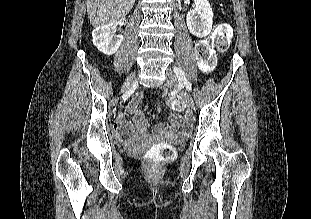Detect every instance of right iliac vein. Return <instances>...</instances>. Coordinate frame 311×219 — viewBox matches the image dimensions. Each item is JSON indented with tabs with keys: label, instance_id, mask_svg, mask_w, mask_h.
Masks as SVG:
<instances>
[{
	"label": "right iliac vein",
	"instance_id": "63e3f726",
	"mask_svg": "<svg viewBox=\"0 0 311 219\" xmlns=\"http://www.w3.org/2000/svg\"><path fill=\"white\" fill-rule=\"evenodd\" d=\"M135 78V74H131L127 80L125 81L123 87H122V92L126 91L132 84V82L134 81Z\"/></svg>",
	"mask_w": 311,
	"mask_h": 219
}]
</instances>
